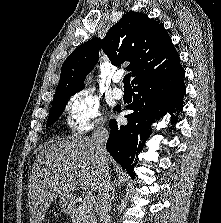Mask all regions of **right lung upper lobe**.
I'll return each mask as SVG.
<instances>
[{"label":"right lung upper lobe","mask_w":221,"mask_h":223,"mask_svg":"<svg viewBox=\"0 0 221 223\" xmlns=\"http://www.w3.org/2000/svg\"><path fill=\"white\" fill-rule=\"evenodd\" d=\"M114 65L130 61L132 84L160 78L180 66V57L164 25L139 12L126 13L107 32L74 50L64 61L53 101L70 97L84 88V78L99 58V49Z\"/></svg>","instance_id":"cb5924a9"}]
</instances>
